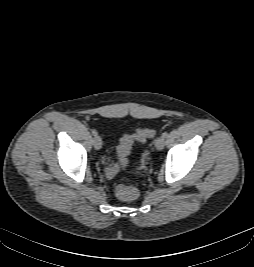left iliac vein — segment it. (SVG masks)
Masks as SVG:
<instances>
[{
  "label": "left iliac vein",
  "instance_id": "left-iliac-vein-1",
  "mask_svg": "<svg viewBox=\"0 0 254 267\" xmlns=\"http://www.w3.org/2000/svg\"><path fill=\"white\" fill-rule=\"evenodd\" d=\"M165 146V138L160 136L158 137L156 140H155V147L158 149V150H162Z\"/></svg>",
  "mask_w": 254,
  "mask_h": 267
}]
</instances>
